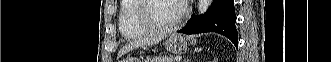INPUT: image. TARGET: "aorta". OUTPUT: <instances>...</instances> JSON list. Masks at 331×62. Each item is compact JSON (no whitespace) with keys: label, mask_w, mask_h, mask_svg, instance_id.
I'll return each instance as SVG.
<instances>
[{"label":"aorta","mask_w":331,"mask_h":62,"mask_svg":"<svg viewBox=\"0 0 331 62\" xmlns=\"http://www.w3.org/2000/svg\"><path fill=\"white\" fill-rule=\"evenodd\" d=\"M213 0H199L198 1V13L204 14L211 6Z\"/></svg>","instance_id":"762f6f07"}]
</instances>
